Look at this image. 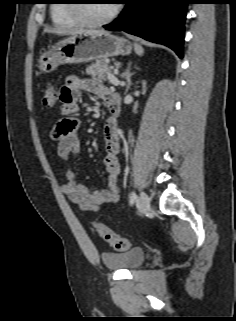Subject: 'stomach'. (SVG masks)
<instances>
[{
  "label": "stomach",
  "mask_w": 236,
  "mask_h": 321,
  "mask_svg": "<svg viewBox=\"0 0 236 321\" xmlns=\"http://www.w3.org/2000/svg\"><path fill=\"white\" fill-rule=\"evenodd\" d=\"M131 50L130 42L110 33L101 35L76 33L42 53L38 63L44 73H49L62 64L86 63L118 55H129Z\"/></svg>",
  "instance_id": "obj_1"
}]
</instances>
